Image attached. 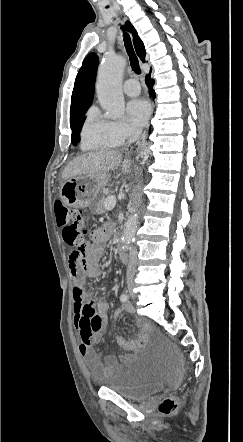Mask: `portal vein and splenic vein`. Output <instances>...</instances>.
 <instances>
[{
	"instance_id": "1",
	"label": "portal vein and splenic vein",
	"mask_w": 243,
	"mask_h": 442,
	"mask_svg": "<svg viewBox=\"0 0 243 442\" xmlns=\"http://www.w3.org/2000/svg\"><path fill=\"white\" fill-rule=\"evenodd\" d=\"M115 205H116V198L112 196V198L106 201L105 208L110 211L115 207Z\"/></svg>"
}]
</instances>
